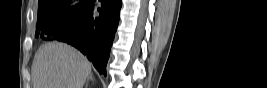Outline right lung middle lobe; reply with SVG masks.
Instances as JSON below:
<instances>
[{
    "label": "right lung middle lobe",
    "instance_id": "dd1d6c3e",
    "mask_svg": "<svg viewBox=\"0 0 267 88\" xmlns=\"http://www.w3.org/2000/svg\"><path fill=\"white\" fill-rule=\"evenodd\" d=\"M91 0H39L35 37L50 40L60 29L74 23Z\"/></svg>",
    "mask_w": 267,
    "mask_h": 88
}]
</instances>
